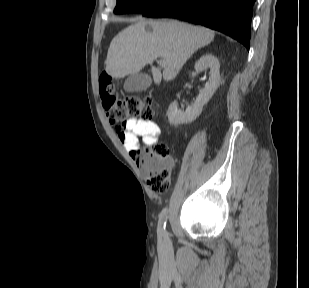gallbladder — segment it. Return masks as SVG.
<instances>
[{
    "label": "gallbladder",
    "instance_id": "bac80fb5",
    "mask_svg": "<svg viewBox=\"0 0 309 288\" xmlns=\"http://www.w3.org/2000/svg\"><path fill=\"white\" fill-rule=\"evenodd\" d=\"M152 83L149 75L143 73H135L129 75L124 82V90L127 92L145 91Z\"/></svg>",
    "mask_w": 309,
    "mask_h": 288
}]
</instances>
